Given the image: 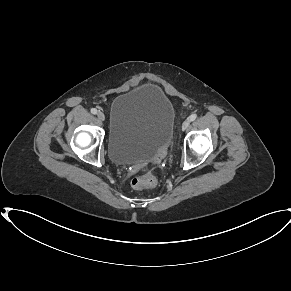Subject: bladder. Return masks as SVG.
Returning <instances> with one entry per match:
<instances>
[{"instance_id": "bladder-1", "label": "bladder", "mask_w": 291, "mask_h": 291, "mask_svg": "<svg viewBox=\"0 0 291 291\" xmlns=\"http://www.w3.org/2000/svg\"><path fill=\"white\" fill-rule=\"evenodd\" d=\"M174 107L153 84H140L117 95L110 107L108 155L114 164L151 160L172 140Z\"/></svg>"}]
</instances>
